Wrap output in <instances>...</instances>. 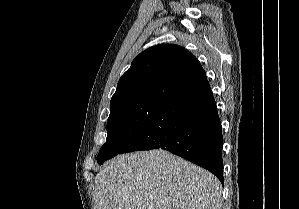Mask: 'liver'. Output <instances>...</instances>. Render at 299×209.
I'll use <instances>...</instances> for the list:
<instances>
[{"instance_id": "1", "label": "liver", "mask_w": 299, "mask_h": 209, "mask_svg": "<svg viewBox=\"0 0 299 209\" xmlns=\"http://www.w3.org/2000/svg\"><path fill=\"white\" fill-rule=\"evenodd\" d=\"M96 209H221L210 172L165 150L119 155L95 177Z\"/></svg>"}]
</instances>
